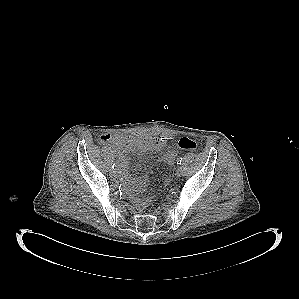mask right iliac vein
<instances>
[{"mask_svg":"<svg viewBox=\"0 0 299 299\" xmlns=\"http://www.w3.org/2000/svg\"><path fill=\"white\" fill-rule=\"evenodd\" d=\"M110 176L111 177H117V172L115 170H110Z\"/></svg>","mask_w":299,"mask_h":299,"instance_id":"obj_1","label":"right iliac vein"}]
</instances>
